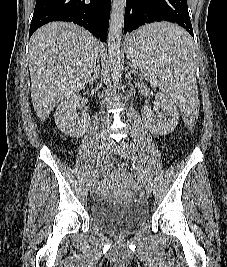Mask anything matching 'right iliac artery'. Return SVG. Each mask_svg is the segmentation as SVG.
<instances>
[{
    "label": "right iliac artery",
    "instance_id": "obj_1",
    "mask_svg": "<svg viewBox=\"0 0 227 267\" xmlns=\"http://www.w3.org/2000/svg\"><path fill=\"white\" fill-rule=\"evenodd\" d=\"M98 167V166H97ZM97 175V170L93 172V176Z\"/></svg>",
    "mask_w": 227,
    "mask_h": 267
}]
</instances>
